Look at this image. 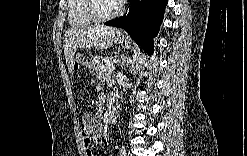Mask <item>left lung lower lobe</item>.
Masks as SVG:
<instances>
[{
  "instance_id": "0a47b994",
  "label": "left lung lower lobe",
  "mask_w": 247,
  "mask_h": 156,
  "mask_svg": "<svg viewBox=\"0 0 247 156\" xmlns=\"http://www.w3.org/2000/svg\"><path fill=\"white\" fill-rule=\"evenodd\" d=\"M167 0H130L128 12L105 25L124 29L149 54L153 52L152 38L157 35Z\"/></svg>"
}]
</instances>
